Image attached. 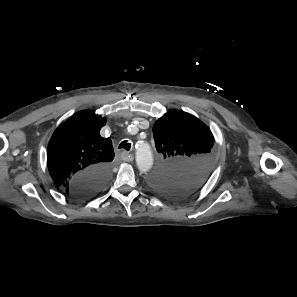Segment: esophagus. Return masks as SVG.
I'll list each match as a JSON object with an SVG mask.
<instances>
[{"instance_id":"34e87169","label":"esophagus","mask_w":297,"mask_h":297,"mask_svg":"<svg viewBox=\"0 0 297 297\" xmlns=\"http://www.w3.org/2000/svg\"><path fill=\"white\" fill-rule=\"evenodd\" d=\"M121 159H122L123 161H126V162H131V161H133L134 157H133L132 154H129V153L126 152V151H122V152H121Z\"/></svg>"}]
</instances>
